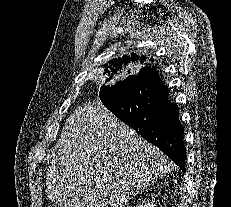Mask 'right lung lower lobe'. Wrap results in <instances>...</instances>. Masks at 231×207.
Returning <instances> with one entry per match:
<instances>
[{"label": "right lung lower lobe", "instance_id": "obj_1", "mask_svg": "<svg viewBox=\"0 0 231 207\" xmlns=\"http://www.w3.org/2000/svg\"><path fill=\"white\" fill-rule=\"evenodd\" d=\"M168 93L157 71L144 67L138 75L122 80L100 99L115 116L167 154L185 173L184 127Z\"/></svg>", "mask_w": 231, "mask_h": 207}]
</instances>
